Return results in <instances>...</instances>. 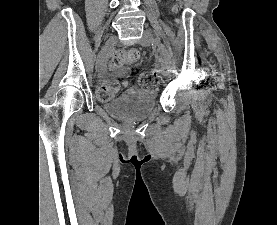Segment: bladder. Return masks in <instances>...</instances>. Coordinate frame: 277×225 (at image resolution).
<instances>
[{
	"mask_svg": "<svg viewBox=\"0 0 277 225\" xmlns=\"http://www.w3.org/2000/svg\"><path fill=\"white\" fill-rule=\"evenodd\" d=\"M157 94L141 89H132L107 101L105 108L111 115L124 120L147 118L156 107Z\"/></svg>",
	"mask_w": 277,
	"mask_h": 225,
	"instance_id": "bladder-1",
	"label": "bladder"
}]
</instances>
